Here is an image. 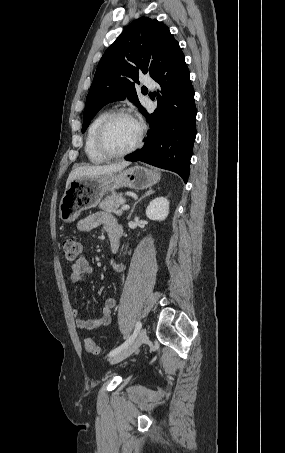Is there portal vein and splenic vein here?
<instances>
[{"mask_svg":"<svg viewBox=\"0 0 285 453\" xmlns=\"http://www.w3.org/2000/svg\"><path fill=\"white\" fill-rule=\"evenodd\" d=\"M129 208H130V206L127 205V204H124V205H122V207H121L122 210H128Z\"/></svg>","mask_w":285,"mask_h":453,"instance_id":"18ae733b","label":"portal vein and splenic vein"}]
</instances>
